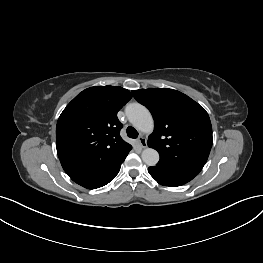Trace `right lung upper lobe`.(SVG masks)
I'll return each instance as SVG.
<instances>
[{
    "label": "right lung upper lobe",
    "instance_id": "cb5924a9",
    "mask_svg": "<svg viewBox=\"0 0 263 263\" xmlns=\"http://www.w3.org/2000/svg\"><path fill=\"white\" fill-rule=\"evenodd\" d=\"M131 97L119 86H94L63 110L56 126V148L73 181L101 173L128 155L132 146L119 135L117 112Z\"/></svg>",
    "mask_w": 263,
    "mask_h": 263
}]
</instances>
